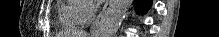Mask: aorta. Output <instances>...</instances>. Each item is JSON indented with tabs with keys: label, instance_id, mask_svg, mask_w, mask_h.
I'll return each mask as SVG.
<instances>
[{
	"label": "aorta",
	"instance_id": "aorta-1",
	"mask_svg": "<svg viewBox=\"0 0 219 37\" xmlns=\"http://www.w3.org/2000/svg\"><path fill=\"white\" fill-rule=\"evenodd\" d=\"M132 0H113L110 9L101 22L97 37H115Z\"/></svg>",
	"mask_w": 219,
	"mask_h": 37
}]
</instances>
